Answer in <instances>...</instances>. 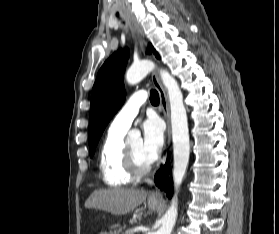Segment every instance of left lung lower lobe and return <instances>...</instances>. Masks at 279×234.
<instances>
[{"label":"left lung lower lobe","instance_id":"1","mask_svg":"<svg viewBox=\"0 0 279 234\" xmlns=\"http://www.w3.org/2000/svg\"><path fill=\"white\" fill-rule=\"evenodd\" d=\"M168 171H169L168 162H166L165 166L159 172H157L154 180L156 185L162 190H165L167 192L168 197L171 198L173 193V187H172L173 181L172 178L171 179L167 178Z\"/></svg>","mask_w":279,"mask_h":234}]
</instances>
